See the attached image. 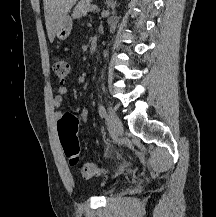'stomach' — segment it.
<instances>
[{
  "mask_svg": "<svg viewBox=\"0 0 216 217\" xmlns=\"http://www.w3.org/2000/svg\"><path fill=\"white\" fill-rule=\"evenodd\" d=\"M72 29V19L66 16L55 33V36L60 40H65L69 36Z\"/></svg>",
  "mask_w": 216,
  "mask_h": 217,
  "instance_id": "obj_1",
  "label": "stomach"
}]
</instances>
